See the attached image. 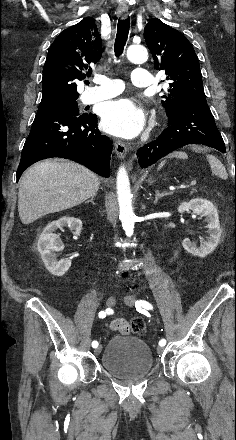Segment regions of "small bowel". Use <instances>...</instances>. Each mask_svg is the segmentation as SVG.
<instances>
[{
	"label": "small bowel",
	"mask_w": 236,
	"mask_h": 440,
	"mask_svg": "<svg viewBox=\"0 0 236 440\" xmlns=\"http://www.w3.org/2000/svg\"><path fill=\"white\" fill-rule=\"evenodd\" d=\"M113 333H119L120 338L125 339L128 336L126 330L129 329V322L122 319H115L110 324Z\"/></svg>",
	"instance_id": "c3829d8e"
}]
</instances>
